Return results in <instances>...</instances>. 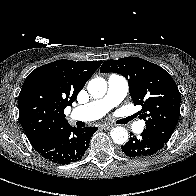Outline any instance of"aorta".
<instances>
[{
    "mask_svg": "<svg viewBox=\"0 0 196 196\" xmlns=\"http://www.w3.org/2000/svg\"><path fill=\"white\" fill-rule=\"evenodd\" d=\"M87 90L94 98H102L107 92V82L102 77L94 78L89 81ZM110 135L117 144H125L128 140V131L124 127L113 128Z\"/></svg>",
    "mask_w": 196,
    "mask_h": 196,
    "instance_id": "aorta-1",
    "label": "aorta"
}]
</instances>
